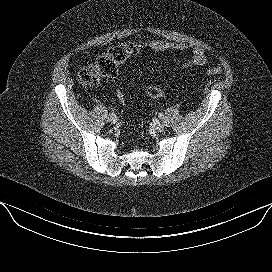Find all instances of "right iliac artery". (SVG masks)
I'll return each mask as SVG.
<instances>
[{
    "label": "right iliac artery",
    "mask_w": 272,
    "mask_h": 272,
    "mask_svg": "<svg viewBox=\"0 0 272 272\" xmlns=\"http://www.w3.org/2000/svg\"><path fill=\"white\" fill-rule=\"evenodd\" d=\"M110 117H116V115L114 113L110 114Z\"/></svg>",
    "instance_id": "82829eb1"
}]
</instances>
